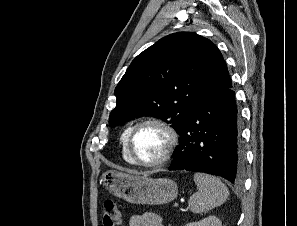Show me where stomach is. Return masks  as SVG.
I'll list each match as a JSON object with an SVG mask.
<instances>
[{
	"instance_id": "0dacf381",
	"label": "stomach",
	"mask_w": 297,
	"mask_h": 226,
	"mask_svg": "<svg viewBox=\"0 0 297 226\" xmlns=\"http://www.w3.org/2000/svg\"><path fill=\"white\" fill-rule=\"evenodd\" d=\"M102 181L113 195L133 204H164L178 195L177 184L167 178L153 179L109 170L102 175Z\"/></svg>"
}]
</instances>
